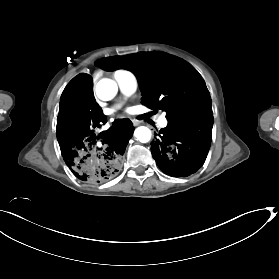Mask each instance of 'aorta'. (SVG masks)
Returning <instances> with one entry per match:
<instances>
[{"label":"aorta","instance_id":"aorta-1","mask_svg":"<svg viewBox=\"0 0 279 279\" xmlns=\"http://www.w3.org/2000/svg\"><path fill=\"white\" fill-rule=\"evenodd\" d=\"M117 91L118 87L116 82L108 78L101 79L96 85V95L103 101L113 99ZM134 135L141 143H147L151 139V131L145 126L136 128Z\"/></svg>","mask_w":279,"mask_h":279}]
</instances>
